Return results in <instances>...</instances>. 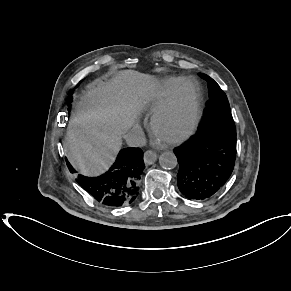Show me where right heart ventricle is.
I'll return each instance as SVG.
<instances>
[{
	"label": "right heart ventricle",
	"mask_w": 291,
	"mask_h": 291,
	"mask_svg": "<svg viewBox=\"0 0 291 291\" xmlns=\"http://www.w3.org/2000/svg\"><path fill=\"white\" fill-rule=\"evenodd\" d=\"M180 78L172 77L167 79L164 83L156 86L152 90L151 107L150 112L155 113L164 100L166 99L169 92L175 87V85L180 81Z\"/></svg>",
	"instance_id": "obj_1"
}]
</instances>
